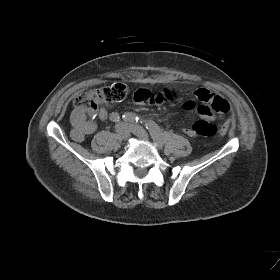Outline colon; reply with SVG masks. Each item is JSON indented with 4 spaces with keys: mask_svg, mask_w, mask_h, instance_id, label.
Returning a JSON list of instances; mask_svg holds the SVG:
<instances>
[{
    "mask_svg": "<svg viewBox=\"0 0 280 280\" xmlns=\"http://www.w3.org/2000/svg\"><path fill=\"white\" fill-rule=\"evenodd\" d=\"M128 93L129 89L126 84L114 83L78 94L74 98L73 104L76 109L94 115L100 106L121 102L127 97ZM191 129L195 135L205 137L224 133L221 126H216L209 120L204 119L193 123Z\"/></svg>",
    "mask_w": 280,
    "mask_h": 280,
    "instance_id": "colon-1",
    "label": "colon"
}]
</instances>
